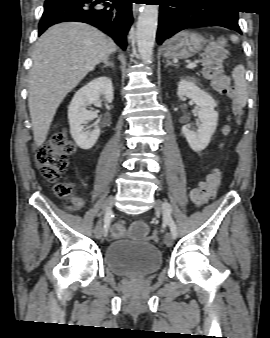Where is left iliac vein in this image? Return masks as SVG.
I'll list each match as a JSON object with an SVG mask.
<instances>
[{
	"instance_id": "1",
	"label": "left iliac vein",
	"mask_w": 270,
	"mask_h": 338,
	"mask_svg": "<svg viewBox=\"0 0 270 338\" xmlns=\"http://www.w3.org/2000/svg\"><path fill=\"white\" fill-rule=\"evenodd\" d=\"M154 209L157 213L162 212L163 202L160 199H157L154 203ZM164 243L166 246L171 247L173 245V237L171 233H167L164 237Z\"/></svg>"
}]
</instances>
